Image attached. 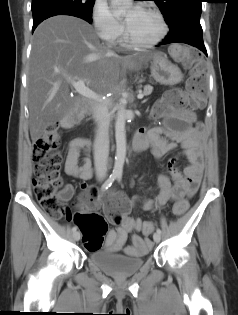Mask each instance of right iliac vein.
I'll list each match as a JSON object with an SVG mask.
<instances>
[{"mask_svg": "<svg viewBox=\"0 0 238 315\" xmlns=\"http://www.w3.org/2000/svg\"><path fill=\"white\" fill-rule=\"evenodd\" d=\"M80 236H81V234H80L79 231H75L74 234H73V238H74L75 241H79Z\"/></svg>", "mask_w": 238, "mask_h": 315, "instance_id": "right-iliac-vein-1", "label": "right iliac vein"}]
</instances>
